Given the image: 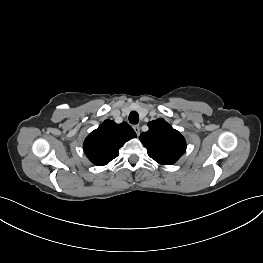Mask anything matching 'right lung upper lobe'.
Returning a JSON list of instances; mask_svg holds the SVG:
<instances>
[{
	"mask_svg": "<svg viewBox=\"0 0 263 263\" xmlns=\"http://www.w3.org/2000/svg\"><path fill=\"white\" fill-rule=\"evenodd\" d=\"M137 135L131 126L105 120L84 141V152L89 160L99 166L108 164L119 155V148Z\"/></svg>",
	"mask_w": 263,
	"mask_h": 263,
	"instance_id": "obj_1",
	"label": "right lung upper lobe"
}]
</instances>
